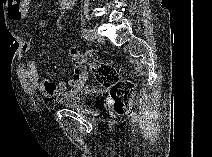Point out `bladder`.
Segmentation results:
<instances>
[{"mask_svg": "<svg viewBox=\"0 0 212 157\" xmlns=\"http://www.w3.org/2000/svg\"><path fill=\"white\" fill-rule=\"evenodd\" d=\"M104 97V91L97 86H86L66 92L58 101L60 106L76 109L80 112L96 115L97 107Z\"/></svg>", "mask_w": 212, "mask_h": 157, "instance_id": "1", "label": "bladder"}]
</instances>
